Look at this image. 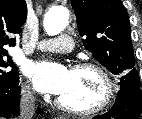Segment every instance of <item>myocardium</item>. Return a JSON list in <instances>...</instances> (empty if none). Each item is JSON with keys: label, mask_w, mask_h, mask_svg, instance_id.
Instances as JSON below:
<instances>
[{"label": "myocardium", "mask_w": 142, "mask_h": 119, "mask_svg": "<svg viewBox=\"0 0 142 119\" xmlns=\"http://www.w3.org/2000/svg\"><path fill=\"white\" fill-rule=\"evenodd\" d=\"M73 71L93 70L100 77L103 84V93L100 101L91 108L80 109L66 104L60 97L56 99V105L69 113L75 115L89 116L105 110L112 102L114 96V83L108 71L100 64L94 62H79L72 68Z\"/></svg>", "instance_id": "myocardium-1"}]
</instances>
